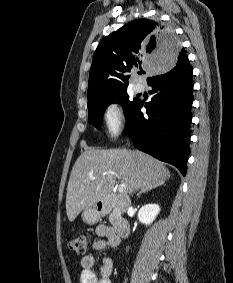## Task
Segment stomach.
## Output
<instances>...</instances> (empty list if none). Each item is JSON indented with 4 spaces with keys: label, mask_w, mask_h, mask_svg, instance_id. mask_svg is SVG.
Returning <instances> with one entry per match:
<instances>
[{
    "label": "stomach",
    "mask_w": 233,
    "mask_h": 283,
    "mask_svg": "<svg viewBox=\"0 0 233 283\" xmlns=\"http://www.w3.org/2000/svg\"><path fill=\"white\" fill-rule=\"evenodd\" d=\"M101 215L102 212L94 205L83 210L82 219L87 224H95Z\"/></svg>",
    "instance_id": "0dacf381"
}]
</instances>
